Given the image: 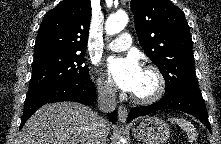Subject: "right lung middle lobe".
<instances>
[{"label":"right lung middle lobe","instance_id":"right-lung-middle-lobe-1","mask_svg":"<svg viewBox=\"0 0 221 144\" xmlns=\"http://www.w3.org/2000/svg\"><path fill=\"white\" fill-rule=\"evenodd\" d=\"M83 63L84 53L58 51L35 53L27 95L55 83L90 81L88 67Z\"/></svg>","mask_w":221,"mask_h":144}]
</instances>
